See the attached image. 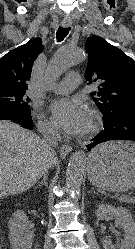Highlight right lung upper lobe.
<instances>
[{
    "label": "right lung upper lobe",
    "mask_w": 135,
    "mask_h": 249,
    "mask_svg": "<svg viewBox=\"0 0 135 249\" xmlns=\"http://www.w3.org/2000/svg\"><path fill=\"white\" fill-rule=\"evenodd\" d=\"M42 48V40L34 38L0 59V91H26L32 64Z\"/></svg>",
    "instance_id": "obj_1"
}]
</instances>
